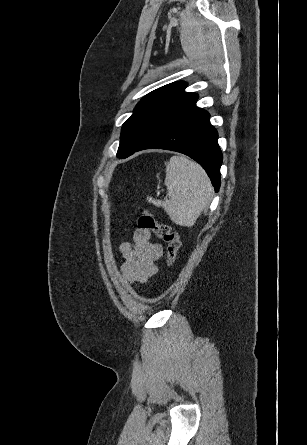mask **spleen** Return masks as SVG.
<instances>
[{
	"label": "spleen",
	"instance_id": "spleen-1",
	"mask_svg": "<svg viewBox=\"0 0 307 445\" xmlns=\"http://www.w3.org/2000/svg\"><path fill=\"white\" fill-rule=\"evenodd\" d=\"M165 184L164 200L149 196L148 202L162 206L175 225L193 227L212 194V184L204 168L186 156H171L166 164Z\"/></svg>",
	"mask_w": 307,
	"mask_h": 445
}]
</instances>
